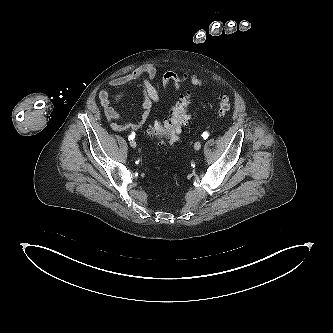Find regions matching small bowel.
<instances>
[{
	"label": "small bowel",
	"instance_id": "small-bowel-1",
	"mask_svg": "<svg viewBox=\"0 0 333 333\" xmlns=\"http://www.w3.org/2000/svg\"><path fill=\"white\" fill-rule=\"evenodd\" d=\"M158 79L157 69L151 64H144L132 72L116 77L109 81V86L122 88L128 84L140 81L137 88L143 92L142 116L139 121H123L121 115L114 108V104L123 100L126 95L125 90L111 95L107 90L98 93L100 105L103 108L104 116L112 130L122 132L125 130L137 131L147 121L150 116L153 103L159 102L163 92L178 89L182 82L189 80L195 86L206 85V81L199 76L192 74L179 75L173 71H166L162 76V89L158 90L153 84Z\"/></svg>",
	"mask_w": 333,
	"mask_h": 333
}]
</instances>
